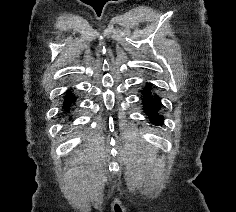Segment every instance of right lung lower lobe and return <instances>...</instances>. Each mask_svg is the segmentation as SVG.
Instances as JSON below:
<instances>
[{"instance_id":"obj_1","label":"right lung lower lobe","mask_w":236,"mask_h":212,"mask_svg":"<svg viewBox=\"0 0 236 212\" xmlns=\"http://www.w3.org/2000/svg\"><path fill=\"white\" fill-rule=\"evenodd\" d=\"M76 97L72 90H68L64 96V102L62 105V114L64 116H69L70 113L74 110L73 105L75 104ZM71 120V117H70Z\"/></svg>"}]
</instances>
